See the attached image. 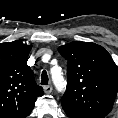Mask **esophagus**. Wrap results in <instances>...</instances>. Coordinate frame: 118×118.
<instances>
[{"mask_svg":"<svg viewBox=\"0 0 118 118\" xmlns=\"http://www.w3.org/2000/svg\"><path fill=\"white\" fill-rule=\"evenodd\" d=\"M53 88L51 85L44 86V92L46 94H50L52 92Z\"/></svg>","mask_w":118,"mask_h":118,"instance_id":"34e87169","label":"esophagus"}]
</instances>
